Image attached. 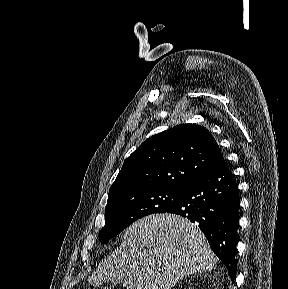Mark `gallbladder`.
<instances>
[{
  "mask_svg": "<svg viewBox=\"0 0 288 289\" xmlns=\"http://www.w3.org/2000/svg\"><path fill=\"white\" fill-rule=\"evenodd\" d=\"M125 281L124 275L121 272H116L115 276H113L109 283L111 284H120Z\"/></svg>",
  "mask_w": 288,
  "mask_h": 289,
  "instance_id": "gallbladder-1",
  "label": "gallbladder"
}]
</instances>
